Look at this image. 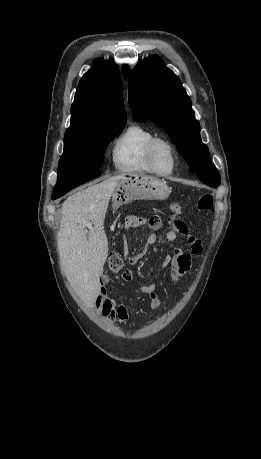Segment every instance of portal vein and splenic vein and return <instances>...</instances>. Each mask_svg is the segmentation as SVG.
Here are the masks:
<instances>
[{"mask_svg": "<svg viewBox=\"0 0 261 459\" xmlns=\"http://www.w3.org/2000/svg\"><path fill=\"white\" fill-rule=\"evenodd\" d=\"M86 227L92 228V225L90 223H86Z\"/></svg>", "mask_w": 261, "mask_h": 459, "instance_id": "portal-vein-and-splenic-vein-1", "label": "portal vein and splenic vein"}]
</instances>
